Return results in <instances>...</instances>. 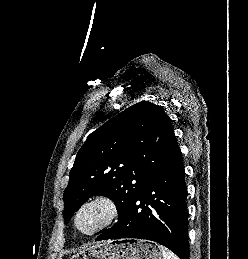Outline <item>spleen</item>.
Returning a JSON list of instances; mask_svg holds the SVG:
<instances>
[{"instance_id":"obj_1","label":"spleen","mask_w":248,"mask_h":259,"mask_svg":"<svg viewBox=\"0 0 248 259\" xmlns=\"http://www.w3.org/2000/svg\"><path fill=\"white\" fill-rule=\"evenodd\" d=\"M159 249L162 252L163 259H179L172 251L168 250L164 246H159Z\"/></svg>"}]
</instances>
